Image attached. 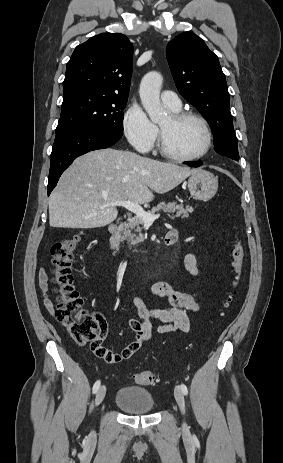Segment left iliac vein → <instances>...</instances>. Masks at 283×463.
Segmentation results:
<instances>
[{
    "mask_svg": "<svg viewBox=\"0 0 283 463\" xmlns=\"http://www.w3.org/2000/svg\"><path fill=\"white\" fill-rule=\"evenodd\" d=\"M174 396H175L176 402L182 414H184L185 413V399H184L183 392L178 386H176L174 389ZM183 425L186 426V423H183Z\"/></svg>",
    "mask_w": 283,
    "mask_h": 463,
    "instance_id": "1",
    "label": "left iliac vein"
}]
</instances>
